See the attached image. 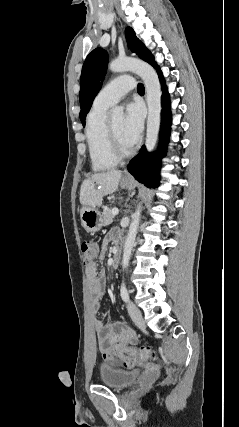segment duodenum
Wrapping results in <instances>:
<instances>
[{
  "instance_id": "obj_1",
  "label": "duodenum",
  "mask_w": 239,
  "mask_h": 427,
  "mask_svg": "<svg viewBox=\"0 0 239 427\" xmlns=\"http://www.w3.org/2000/svg\"><path fill=\"white\" fill-rule=\"evenodd\" d=\"M121 259V248L119 243L116 245L114 249L113 262L112 265L114 268H118Z\"/></svg>"
}]
</instances>
